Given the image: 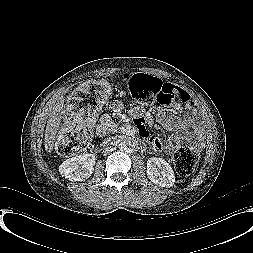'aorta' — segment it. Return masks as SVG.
Wrapping results in <instances>:
<instances>
[{
    "label": "aorta",
    "mask_w": 253,
    "mask_h": 253,
    "mask_svg": "<svg viewBox=\"0 0 253 253\" xmlns=\"http://www.w3.org/2000/svg\"><path fill=\"white\" fill-rule=\"evenodd\" d=\"M118 148H119L121 151H124V150L127 148V145H126L124 142H121V143L118 145Z\"/></svg>",
    "instance_id": "aorta-1"
}]
</instances>
